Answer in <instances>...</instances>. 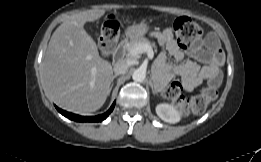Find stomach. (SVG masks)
I'll return each mask as SVG.
<instances>
[{
	"label": "stomach",
	"instance_id": "1",
	"mask_svg": "<svg viewBox=\"0 0 261 162\" xmlns=\"http://www.w3.org/2000/svg\"><path fill=\"white\" fill-rule=\"evenodd\" d=\"M149 29V25L145 23L133 24L126 28L125 35L130 39H135L145 35Z\"/></svg>",
	"mask_w": 261,
	"mask_h": 162
}]
</instances>
